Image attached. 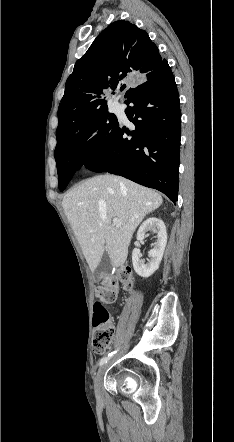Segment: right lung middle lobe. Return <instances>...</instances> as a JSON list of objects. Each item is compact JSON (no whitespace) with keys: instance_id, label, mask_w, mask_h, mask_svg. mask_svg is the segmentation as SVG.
<instances>
[{"instance_id":"right-lung-middle-lobe-1","label":"right lung middle lobe","mask_w":234,"mask_h":442,"mask_svg":"<svg viewBox=\"0 0 234 442\" xmlns=\"http://www.w3.org/2000/svg\"><path fill=\"white\" fill-rule=\"evenodd\" d=\"M114 114L107 107L85 117L64 141L57 144L55 160L58 172V187L63 191L74 173L93 158L117 125Z\"/></svg>"}]
</instances>
